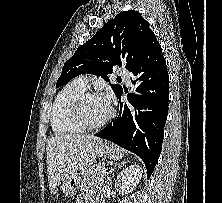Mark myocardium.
<instances>
[{
	"label": "myocardium",
	"mask_w": 222,
	"mask_h": 203,
	"mask_svg": "<svg viewBox=\"0 0 222 203\" xmlns=\"http://www.w3.org/2000/svg\"><path fill=\"white\" fill-rule=\"evenodd\" d=\"M90 97H102V96L97 92L85 91L75 99L71 108V114L74 122L81 130L84 131L97 130L106 125L114 116V109L110 107L109 114L103 120L95 124L88 123L83 116L82 107L85 100Z\"/></svg>",
	"instance_id": "1"
}]
</instances>
